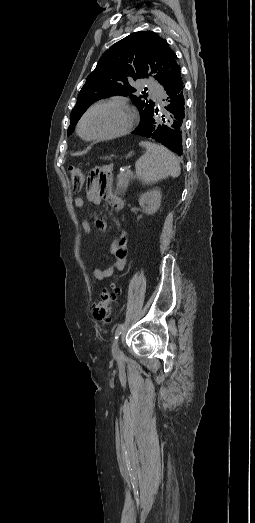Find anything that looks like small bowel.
<instances>
[{"label": "small bowel", "instance_id": "small-bowel-1", "mask_svg": "<svg viewBox=\"0 0 255 523\" xmlns=\"http://www.w3.org/2000/svg\"><path fill=\"white\" fill-rule=\"evenodd\" d=\"M101 198L105 199L115 211H121L123 208V202L120 198L115 196L111 191V181L108 180L102 185L100 191L95 188H91L87 193V199L93 202H98ZM86 204V199L83 197H77L75 199V206L83 208ZM94 226L99 231H106L108 225L104 219L97 218L94 220ZM81 227L84 235L88 237L92 232L91 224L88 220L84 219L81 222ZM111 253L115 257L114 263L106 269H101L95 265L90 268L91 274L94 279L102 281L110 277L115 271L121 272L126 264L127 257V236L123 232L119 240H116L111 245Z\"/></svg>", "mask_w": 255, "mask_h": 523}]
</instances>
